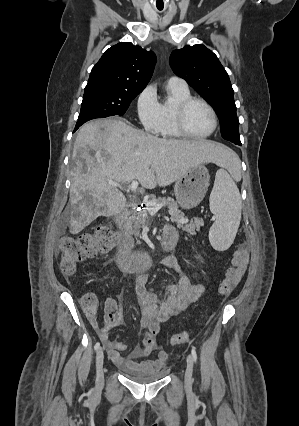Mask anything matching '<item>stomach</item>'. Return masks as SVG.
<instances>
[{
  "label": "stomach",
  "mask_w": 299,
  "mask_h": 426,
  "mask_svg": "<svg viewBox=\"0 0 299 426\" xmlns=\"http://www.w3.org/2000/svg\"><path fill=\"white\" fill-rule=\"evenodd\" d=\"M210 175L204 164L191 168L174 186L177 203L183 209L196 207L205 197Z\"/></svg>",
  "instance_id": "0dacf381"
}]
</instances>
